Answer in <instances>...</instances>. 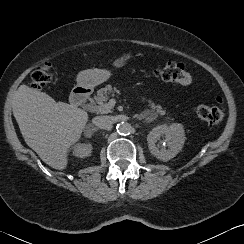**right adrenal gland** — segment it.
Returning <instances> with one entry per match:
<instances>
[{
	"mask_svg": "<svg viewBox=\"0 0 244 244\" xmlns=\"http://www.w3.org/2000/svg\"><path fill=\"white\" fill-rule=\"evenodd\" d=\"M97 130H98L97 128H93V129H92L93 132H96Z\"/></svg>",
	"mask_w": 244,
	"mask_h": 244,
	"instance_id": "right-adrenal-gland-1",
	"label": "right adrenal gland"
}]
</instances>
